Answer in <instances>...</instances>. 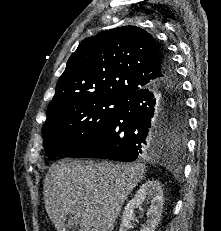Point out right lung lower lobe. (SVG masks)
Masks as SVG:
<instances>
[{"label":"right lung lower lobe","mask_w":221,"mask_h":231,"mask_svg":"<svg viewBox=\"0 0 221 231\" xmlns=\"http://www.w3.org/2000/svg\"><path fill=\"white\" fill-rule=\"evenodd\" d=\"M162 79L127 97L120 109L97 132L65 157H94L132 162L160 154L170 141L163 115L168 104L184 101L175 66L163 49Z\"/></svg>","instance_id":"right-lung-lower-lobe-1"}]
</instances>
